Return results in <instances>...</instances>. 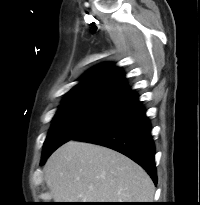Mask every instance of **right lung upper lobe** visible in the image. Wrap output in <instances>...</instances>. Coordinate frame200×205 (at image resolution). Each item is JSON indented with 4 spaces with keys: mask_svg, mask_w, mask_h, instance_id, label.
Returning <instances> with one entry per match:
<instances>
[{
    "mask_svg": "<svg viewBox=\"0 0 200 205\" xmlns=\"http://www.w3.org/2000/svg\"><path fill=\"white\" fill-rule=\"evenodd\" d=\"M124 73L112 63L98 65L82 76V81L65 97L64 101L96 99L117 101L127 92Z\"/></svg>",
    "mask_w": 200,
    "mask_h": 205,
    "instance_id": "obj_1",
    "label": "right lung upper lobe"
}]
</instances>
